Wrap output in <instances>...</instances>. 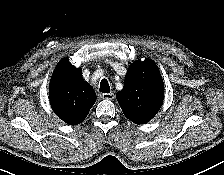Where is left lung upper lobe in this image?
Segmentation results:
<instances>
[{"label":"left lung upper lobe","mask_w":224,"mask_h":175,"mask_svg":"<svg viewBox=\"0 0 224 175\" xmlns=\"http://www.w3.org/2000/svg\"><path fill=\"white\" fill-rule=\"evenodd\" d=\"M163 99V80L155 62L145 59L132 64L123 89L117 93L124 115L136 124H145L158 113Z\"/></svg>","instance_id":"left-lung-upper-lobe-1"}]
</instances>
